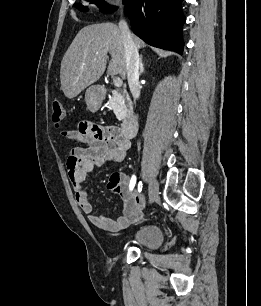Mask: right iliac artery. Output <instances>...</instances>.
Masks as SVG:
<instances>
[{
  "instance_id": "1",
  "label": "right iliac artery",
  "mask_w": 261,
  "mask_h": 306,
  "mask_svg": "<svg viewBox=\"0 0 261 306\" xmlns=\"http://www.w3.org/2000/svg\"><path fill=\"white\" fill-rule=\"evenodd\" d=\"M136 182V178L135 176H132L131 178V182H130V189L132 190L134 188ZM142 191V182L140 181L138 184V192L140 193Z\"/></svg>"
}]
</instances>
